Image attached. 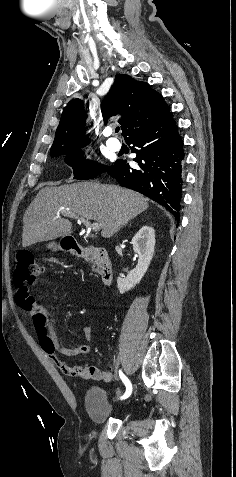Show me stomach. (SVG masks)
I'll return each mask as SVG.
<instances>
[{
  "mask_svg": "<svg viewBox=\"0 0 236 477\" xmlns=\"http://www.w3.org/2000/svg\"><path fill=\"white\" fill-rule=\"evenodd\" d=\"M47 248H49V249L55 251V250H57V249H61L62 247H61L60 244L58 245V244H56L55 242H49V243L47 244Z\"/></svg>",
  "mask_w": 236,
  "mask_h": 477,
  "instance_id": "obj_1",
  "label": "stomach"
}]
</instances>
